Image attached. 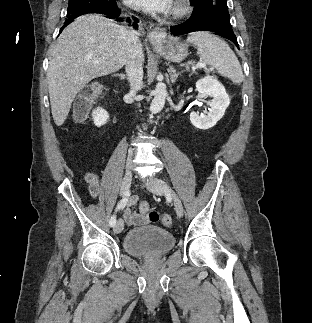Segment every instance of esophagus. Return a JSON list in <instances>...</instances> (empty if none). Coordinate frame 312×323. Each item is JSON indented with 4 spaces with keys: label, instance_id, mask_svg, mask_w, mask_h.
I'll return each mask as SVG.
<instances>
[{
    "label": "esophagus",
    "instance_id": "esophagus-1",
    "mask_svg": "<svg viewBox=\"0 0 312 323\" xmlns=\"http://www.w3.org/2000/svg\"><path fill=\"white\" fill-rule=\"evenodd\" d=\"M147 39L151 43L152 46L158 47L167 39V33L163 30H153L149 32L147 35Z\"/></svg>",
    "mask_w": 312,
    "mask_h": 323
}]
</instances>
